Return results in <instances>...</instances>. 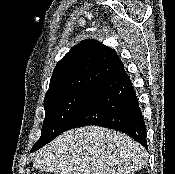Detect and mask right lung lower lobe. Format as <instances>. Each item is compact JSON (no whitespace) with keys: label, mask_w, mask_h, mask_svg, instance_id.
Instances as JSON below:
<instances>
[{"label":"right lung lower lobe","mask_w":175,"mask_h":174,"mask_svg":"<svg viewBox=\"0 0 175 174\" xmlns=\"http://www.w3.org/2000/svg\"><path fill=\"white\" fill-rule=\"evenodd\" d=\"M87 125L123 132L147 149L142 112L124 67L90 91L66 131Z\"/></svg>","instance_id":"98d812e1"}]
</instances>
